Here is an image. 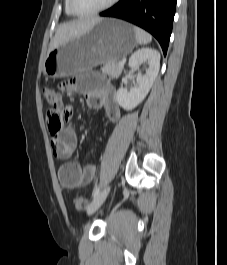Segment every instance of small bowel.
Segmentation results:
<instances>
[{"label":"small bowel","mask_w":227,"mask_h":265,"mask_svg":"<svg viewBox=\"0 0 227 265\" xmlns=\"http://www.w3.org/2000/svg\"><path fill=\"white\" fill-rule=\"evenodd\" d=\"M103 72H80L71 81H63L62 85L69 92L85 95L91 109L105 110L108 119L116 123L121 118V110L116 101L115 89L103 77ZM77 137L72 128H65L51 136V148L54 156L60 160L70 159L76 149ZM96 173L92 164L85 166L75 161L64 163L59 169V180L63 188L73 190L89 184Z\"/></svg>","instance_id":"c3829d8e"}]
</instances>
